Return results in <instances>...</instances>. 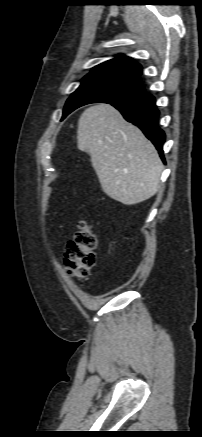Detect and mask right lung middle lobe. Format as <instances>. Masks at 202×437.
<instances>
[{"label": "right lung middle lobe", "instance_id": "obj_1", "mask_svg": "<svg viewBox=\"0 0 202 437\" xmlns=\"http://www.w3.org/2000/svg\"><path fill=\"white\" fill-rule=\"evenodd\" d=\"M143 94L145 89L139 81L117 73L92 71L82 79L79 88L67 100L63 118L86 104L112 103L133 99Z\"/></svg>", "mask_w": 202, "mask_h": 437}]
</instances>
